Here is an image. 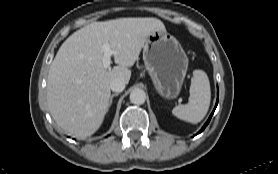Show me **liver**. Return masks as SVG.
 <instances>
[{"mask_svg":"<svg viewBox=\"0 0 278 174\" xmlns=\"http://www.w3.org/2000/svg\"><path fill=\"white\" fill-rule=\"evenodd\" d=\"M165 30L157 18H118L93 22L70 35L51 63L47 103L56 123L70 135L87 137L101 126L108 111L113 79L128 84L146 38ZM115 52L118 66L103 67V46Z\"/></svg>","mask_w":278,"mask_h":174,"instance_id":"obj_1","label":"liver"}]
</instances>
